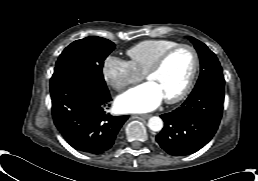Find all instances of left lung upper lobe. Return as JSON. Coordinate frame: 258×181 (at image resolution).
<instances>
[{"label": "left lung upper lobe", "instance_id": "obj_1", "mask_svg": "<svg viewBox=\"0 0 258 181\" xmlns=\"http://www.w3.org/2000/svg\"><path fill=\"white\" fill-rule=\"evenodd\" d=\"M188 38L198 51L201 64L200 77L191 94L198 93L210 86L224 87L225 80L222 73V68L216 55L204 43L193 37Z\"/></svg>", "mask_w": 258, "mask_h": 181}]
</instances>
